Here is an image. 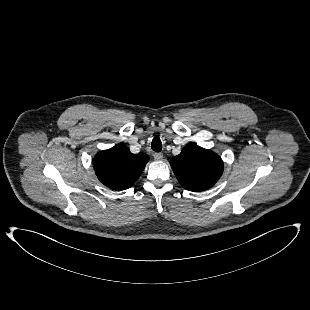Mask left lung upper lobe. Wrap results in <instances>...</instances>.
Listing matches in <instances>:
<instances>
[{
	"label": "left lung upper lobe",
	"mask_w": 310,
	"mask_h": 310,
	"mask_svg": "<svg viewBox=\"0 0 310 310\" xmlns=\"http://www.w3.org/2000/svg\"><path fill=\"white\" fill-rule=\"evenodd\" d=\"M170 165L182 187L194 192L209 189L223 173L220 156L193 143L174 156Z\"/></svg>",
	"instance_id": "obj_1"
}]
</instances>
